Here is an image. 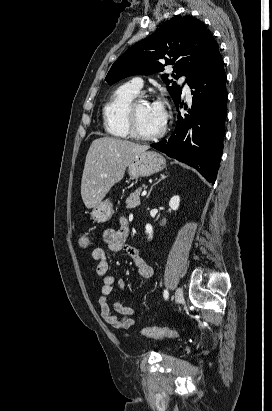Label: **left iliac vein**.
I'll return each instance as SVG.
<instances>
[{
    "label": "left iliac vein",
    "mask_w": 272,
    "mask_h": 411,
    "mask_svg": "<svg viewBox=\"0 0 272 411\" xmlns=\"http://www.w3.org/2000/svg\"><path fill=\"white\" fill-rule=\"evenodd\" d=\"M183 301V289L182 288H177L176 292H175V302L181 303Z\"/></svg>",
    "instance_id": "4c4485c4"
}]
</instances>
